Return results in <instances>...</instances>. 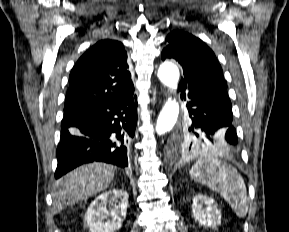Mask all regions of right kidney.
<instances>
[{
	"label": "right kidney",
	"mask_w": 289,
	"mask_h": 232,
	"mask_svg": "<svg viewBox=\"0 0 289 232\" xmlns=\"http://www.w3.org/2000/svg\"><path fill=\"white\" fill-rule=\"evenodd\" d=\"M129 195L122 189H110L99 195L85 213L90 232L118 231L126 217Z\"/></svg>",
	"instance_id": "ca27d5eb"
}]
</instances>
